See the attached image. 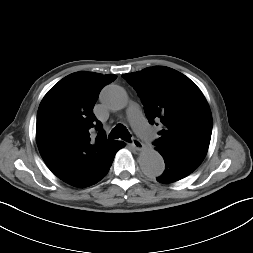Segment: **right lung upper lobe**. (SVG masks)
I'll return each instance as SVG.
<instances>
[{
  "instance_id": "obj_1",
  "label": "right lung upper lobe",
  "mask_w": 253,
  "mask_h": 253,
  "mask_svg": "<svg viewBox=\"0 0 253 253\" xmlns=\"http://www.w3.org/2000/svg\"><path fill=\"white\" fill-rule=\"evenodd\" d=\"M116 75L75 72L45 95L37 113L36 141L49 169L64 182L88 187L104 174L105 155L114 141L106 139L93 114L101 89ZM93 128L98 134L90 137Z\"/></svg>"
}]
</instances>
